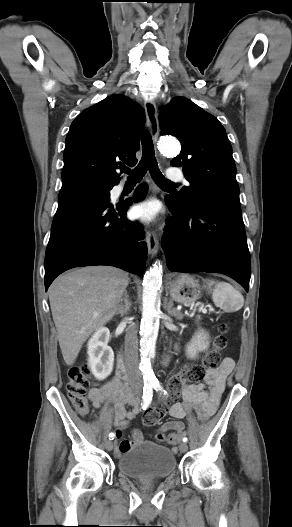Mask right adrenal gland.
Instances as JSON below:
<instances>
[{"label":"right adrenal gland","instance_id":"right-adrenal-gland-1","mask_svg":"<svg viewBox=\"0 0 292 527\" xmlns=\"http://www.w3.org/2000/svg\"><path fill=\"white\" fill-rule=\"evenodd\" d=\"M122 302H124V304ZM129 307H130V302L128 300L127 293H125L124 298L121 299V303L116 308V315L120 314L121 316H123L129 310Z\"/></svg>","mask_w":292,"mask_h":527}]
</instances>
